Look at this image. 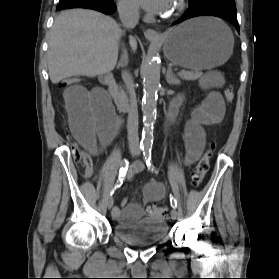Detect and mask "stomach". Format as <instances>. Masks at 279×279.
<instances>
[{
    "label": "stomach",
    "instance_id": "obj_1",
    "mask_svg": "<svg viewBox=\"0 0 279 279\" xmlns=\"http://www.w3.org/2000/svg\"><path fill=\"white\" fill-rule=\"evenodd\" d=\"M233 45V35L222 22L196 18L166 34L164 53L183 68L205 70L224 64L232 54Z\"/></svg>",
    "mask_w": 279,
    "mask_h": 279
}]
</instances>
